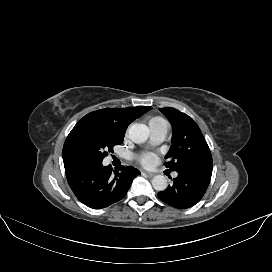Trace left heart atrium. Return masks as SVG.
Masks as SVG:
<instances>
[{
	"instance_id": "left-heart-atrium-1",
	"label": "left heart atrium",
	"mask_w": 272,
	"mask_h": 272,
	"mask_svg": "<svg viewBox=\"0 0 272 272\" xmlns=\"http://www.w3.org/2000/svg\"><path fill=\"white\" fill-rule=\"evenodd\" d=\"M140 160L143 165L149 166L154 162L155 155L153 153H145Z\"/></svg>"
}]
</instances>
